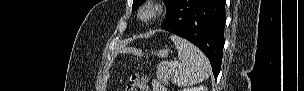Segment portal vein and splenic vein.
Segmentation results:
<instances>
[{
	"label": "portal vein and splenic vein",
	"mask_w": 304,
	"mask_h": 91,
	"mask_svg": "<svg viewBox=\"0 0 304 91\" xmlns=\"http://www.w3.org/2000/svg\"><path fill=\"white\" fill-rule=\"evenodd\" d=\"M168 67H169L170 69H175V68L177 67V64H176V63H169V64H168Z\"/></svg>",
	"instance_id": "1"
}]
</instances>
